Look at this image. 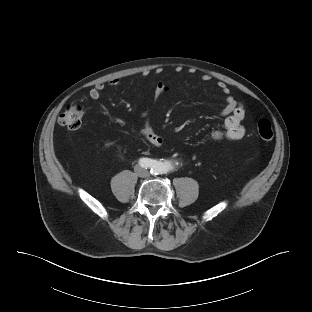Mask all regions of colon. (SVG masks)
Here are the masks:
<instances>
[{"label":"colon","instance_id":"1","mask_svg":"<svg viewBox=\"0 0 312 312\" xmlns=\"http://www.w3.org/2000/svg\"><path fill=\"white\" fill-rule=\"evenodd\" d=\"M83 116V108L77 102L69 103L64 112L61 113L58 123L68 129H77L81 124ZM257 132L259 137L264 141H270L273 138V129L268 119H261L257 124Z\"/></svg>","mask_w":312,"mask_h":312}]
</instances>
